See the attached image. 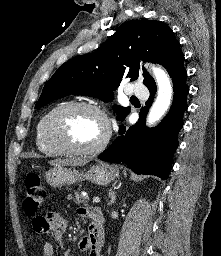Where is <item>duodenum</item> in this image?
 I'll return each mask as SVG.
<instances>
[{"mask_svg": "<svg viewBox=\"0 0 221 256\" xmlns=\"http://www.w3.org/2000/svg\"><path fill=\"white\" fill-rule=\"evenodd\" d=\"M93 220L95 222V232L96 235L100 238L103 237V228H104V218L103 214L100 210L97 209V211L93 215Z\"/></svg>", "mask_w": 221, "mask_h": 256, "instance_id": "1", "label": "duodenum"}]
</instances>
